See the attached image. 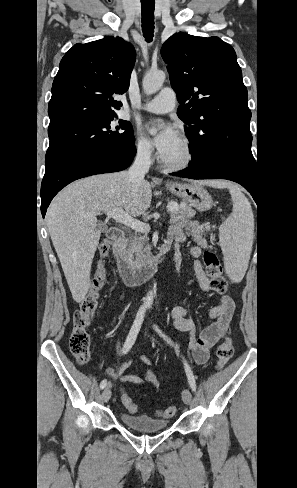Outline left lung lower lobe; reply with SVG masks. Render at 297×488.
Listing matches in <instances>:
<instances>
[{"mask_svg": "<svg viewBox=\"0 0 297 488\" xmlns=\"http://www.w3.org/2000/svg\"><path fill=\"white\" fill-rule=\"evenodd\" d=\"M190 179H227L241 184L254 200H258V180L256 177V162L217 155L206 158L197 163H190L188 168L180 172L171 173Z\"/></svg>", "mask_w": 297, "mask_h": 488, "instance_id": "left-lung-lower-lobe-1", "label": "left lung lower lobe"}]
</instances>
